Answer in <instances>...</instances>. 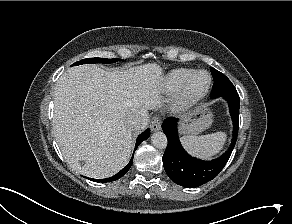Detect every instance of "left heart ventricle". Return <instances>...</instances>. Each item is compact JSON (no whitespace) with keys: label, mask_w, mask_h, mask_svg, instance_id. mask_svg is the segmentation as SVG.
Returning a JSON list of instances; mask_svg holds the SVG:
<instances>
[{"label":"left heart ventricle","mask_w":292,"mask_h":224,"mask_svg":"<svg viewBox=\"0 0 292 224\" xmlns=\"http://www.w3.org/2000/svg\"><path fill=\"white\" fill-rule=\"evenodd\" d=\"M208 82H209L208 75L206 73H200L193 80V82L191 84V90L193 92L202 91L207 86Z\"/></svg>","instance_id":"obj_1"}]
</instances>
